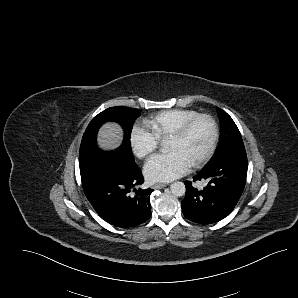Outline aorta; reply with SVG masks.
<instances>
[{"mask_svg":"<svg viewBox=\"0 0 298 298\" xmlns=\"http://www.w3.org/2000/svg\"><path fill=\"white\" fill-rule=\"evenodd\" d=\"M170 191L174 196L180 197V196L185 195L186 186H185L184 182L176 181L170 185Z\"/></svg>","mask_w":298,"mask_h":298,"instance_id":"762f6f07","label":"aorta"}]
</instances>
